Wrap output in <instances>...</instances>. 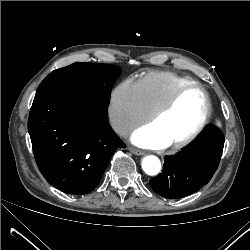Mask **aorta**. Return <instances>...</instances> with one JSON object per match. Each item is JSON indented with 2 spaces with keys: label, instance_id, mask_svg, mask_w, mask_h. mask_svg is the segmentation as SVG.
Masks as SVG:
<instances>
[{
  "label": "aorta",
  "instance_id": "1",
  "mask_svg": "<svg viewBox=\"0 0 250 250\" xmlns=\"http://www.w3.org/2000/svg\"><path fill=\"white\" fill-rule=\"evenodd\" d=\"M142 169L150 176L157 175L161 169V163L158 157L149 155L142 160Z\"/></svg>",
  "mask_w": 250,
  "mask_h": 250
}]
</instances>
